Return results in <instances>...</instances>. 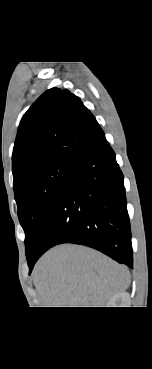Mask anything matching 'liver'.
<instances>
[{"instance_id": "1", "label": "liver", "mask_w": 152, "mask_h": 369, "mask_svg": "<svg viewBox=\"0 0 152 369\" xmlns=\"http://www.w3.org/2000/svg\"><path fill=\"white\" fill-rule=\"evenodd\" d=\"M33 282L47 307H101L129 287L130 273L96 250L63 244L38 261Z\"/></svg>"}]
</instances>
